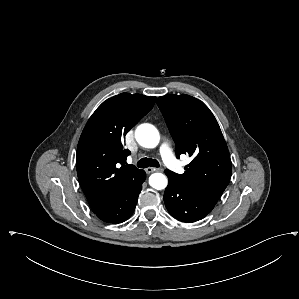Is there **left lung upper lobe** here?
<instances>
[{
  "mask_svg": "<svg viewBox=\"0 0 299 299\" xmlns=\"http://www.w3.org/2000/svg\"><path fill=\"white\" fill-rule=\"evenodd\" d=\"M175 141L177 158H193L183 174L165 173L216 204L229 184L232 163L221 129L209 108L189 95H165L157 99Z\"/></svg>",
  "mask_w": 299,
  "mask_h": 299,
  "instance_id": "1",
  "label": "left lung upper lobe"
}]
</instances>
